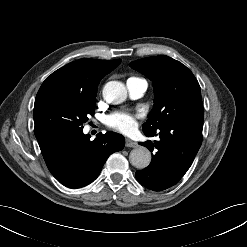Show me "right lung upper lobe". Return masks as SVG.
Wrapping results in <instances>:
<instances>
[{
  "label": "right lung upper lobe",
  "mask_w": 247,
  "mask_h": 247,
  "mask_svg": "<svg viewBox=\"0 0 247 247\" xmlns=\"http://www.w3.org/2000/svg\"><path fill=\"white\" fill-rule=\"evenodd\" d=\"M121 60L80 59L53 72L41 85L36 100L48 95L96 97L100 80Z\"/></svg>",
  "instance_id": "right-lung-upper-lobe-1"
}]
</instances>
